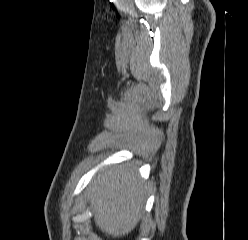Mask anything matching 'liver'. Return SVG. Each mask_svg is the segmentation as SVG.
I'll list each match as a JSON object with an SVG mask.
<instances>
[{
    "label": "liver",
    "instance_id": "1",
    "mask_svg": "<svg viewBox=\"0 0 248 240\" xmlns=\"http://www.w3.org/2000/svg\"><path fill=\"white\" fill-rule=\"evenodd\" d=\"M146 190L133 164L102 171L89 194L96 225L113 237L130 233L140 219Z\"/></svg>",
    "mask_w": 248,
    "mask_h": 240
}]
</instances>
